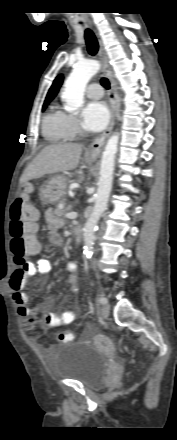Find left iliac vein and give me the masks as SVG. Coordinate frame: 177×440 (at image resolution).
I'll return each instance as SVG.
<instances>
[{
	"label": "left iliac vein",
	"mask_w": 177,
	"mask_h": 440,
	"mask_svg": "<svg viewBox=\"0 0 177 440\" xmlns=\"http://www.w3.org/2000/svg\"><path fill=\"white\" fill-rule=\"evenodd\" d=\"M101 315L106 318L109 315V304H108V300L106 301V303L104 304L103 307H101L100 309Z\"/></svg>",
	"instance_id": "4c4485c4"
}]
</instances>
